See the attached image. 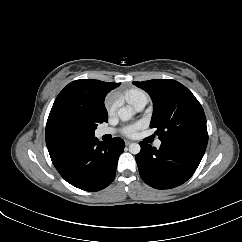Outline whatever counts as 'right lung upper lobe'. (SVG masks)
<instances>
[{
	"label": "right lung upper lobe",
	"mask_w": 242,
	"mask_h": 242,
	"mask_svg": "<svg viewBox=\"0 0 242 242\" xmlns=\"http://www.w3.org/2000/svg\"><path fill=\"white\" fill-rule=\"evenodd\" d=\"M119 85L93 79L69 83L55 99L47 120L49 154L79 140L93 138L97 125L108 121L104 98Z\"/></svg>",
	"instance_id": "obj_1"
}]
</instances>
